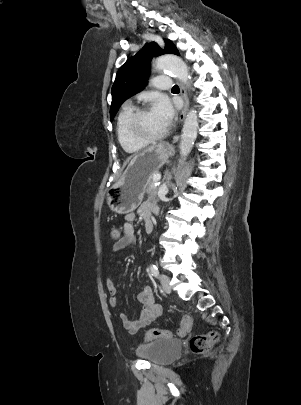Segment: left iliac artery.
Here are the masks:
<instances>
[{
    "instance_id": "44dca946",
    "label": "left iliac artery",
    "mask_w": 301,
    "mask_h": 405,
    "mask_svg": "<svg viewBox=\"0 0 301 405\" xmlns=\"http://www.w3.org/2000/svg\"><path fill=\"white\" fill-rule=\"evenodd\" d=\"M150 270H151V273H152L153 276L158 277L159 271H158V268H157L156 265L151 264Z\"/></svg>"
}]
</instances>
